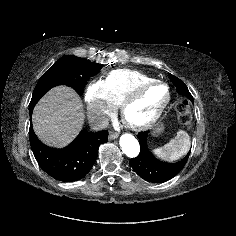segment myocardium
<instances>
[{"instance_id": "obj_1", "label": "myocardium", "mask_w": 236, "mask_h": 236, "mask_svg": "<svg viewBox=\"0 0 236 236\" xmlns=\"http://www.w3.org/2000/svg\"><path fill=\"white\" fill-rule=\"evenodd\" d=\"M155 85H163L166 87L167 97L164 100V102L159 105V107L156 109L152 117H150L148 120L140 123L132 122L131 120H129L127 117L128 108L135 102H137L148 89H150ZM171 97H172V92L170 86L166 82L161 80L154 79L152 81L137 86L119 105V111L124 125L130 130L136 132L144 131L151 128L160 119L162 113L169 105Z\"/></svg>"}]
</instances>
